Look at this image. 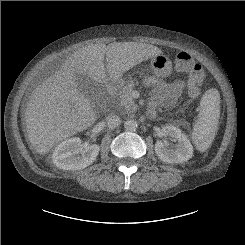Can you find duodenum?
Returning a JSON list of instances; mask_svg holds the SVG:
<instances>
[{"mask_svg":"<svg viewBox=\"0 0 245 245\" xmlns=\"http://www.w3.org/2000/svg\"><path fill=\"white\" fill-rule=\"evenodd\" d=\"M105 84L109 91L110 101H111L107 112L109 114H113L115 111V106H114L115 92L122 84V81L119 78H109L106 80Z\"/></svg>","mask_w":245,"mask_h":245,"instance_id":"1","label":"duodenum"}]
</instances>
